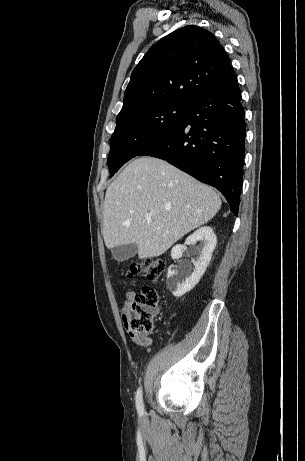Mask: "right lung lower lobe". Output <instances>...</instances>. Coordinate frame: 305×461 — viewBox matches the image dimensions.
<instances>
[{
    "label": "right lung lower lobe",
    "mask_w": 305,
    "mask_h": 461,
    "mask_svg": "<svg viewBox=\"0 0 305 461\" xmlns=\"http://www.w3.org/2000/svg\"><path fill=\"white\" fill-rule=\"evenodd\" d=\"M244 109L236 75L189 103L180 125L138 156L166 160L216 187L237 216L245 155Z\"/></svg>",
    "instance_id": "right-lung-lower-lobe-1"
}]
</instances>
